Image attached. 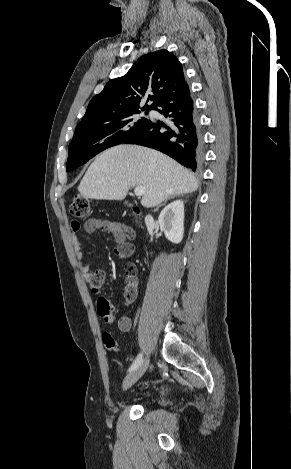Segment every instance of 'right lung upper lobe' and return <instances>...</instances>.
<instances>
[{"mask_svg":"<svg viewBox=\"0 0 291 469\" xmlns=\"http://www.w3.org/2000/svg\"><path fill=\"white\" fill-rule=\"evenodd\" d=\"M187 86L182 64L173 53L159 50L138 59L126 75L110 80L103 91L94 96L83 120H96L137 110L145 100L154 109L169 93ZM153 93L151 96L150 94Z\"/></svg>","mask_w":291,"mask_h":469,"instance_id":"right-lung-upper-lobe-1","label":"right lung upper lobe"}]
</instances>
